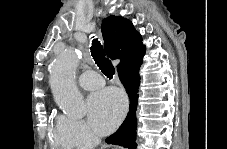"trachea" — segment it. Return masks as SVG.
I'll return each mask as SVG.
<instances>
[{
	"instance_id": "3493384b",
	"label": "trachea",
	"mask_w": 227,
	"mask_h": 149,
	"mask_svg": "<svg viewBox=\"0 0 227 149\" xmlns=\"http://www.w3.org/2000/svg\"><path fill=\"white\" fill-rule=\"evenodd\" d=\"M91 54L103 74L112 79L115 74V68L111 61L105 57L103 46L100 44L98 39H93L92 41Z\"/></svg>"
}]
</instances>
